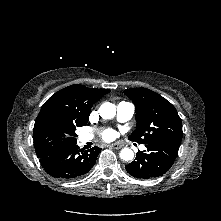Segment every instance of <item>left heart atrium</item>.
I'll use <instances>...</instances> for the list:
<instances>
[{"mask_svg":"<svg viewBox=\"0 0 221 221\" xmlns=\"http://www.w3.org/2000/svg\"><path fill=\"white\" fill-rule=\"evenodd\" d=\"M114 131L113 130H106L103 133V139L104 140H111L114 137Z\"/></svg>","mask_w":221,"mask_h":221,"instance_id":"1","label":"left heart atrium"}]
</instances>
